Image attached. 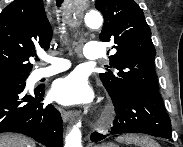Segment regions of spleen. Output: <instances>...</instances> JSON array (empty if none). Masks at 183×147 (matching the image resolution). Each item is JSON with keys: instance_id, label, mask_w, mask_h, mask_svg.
<instances>
[{"instance_id": "spleen-1", "label": "spleen", "mask_w": 183, "mask_h": 147, "mask_svg": "<svg viewBox=\"0 0 183 147\" xmlns=\"http://www.w3.org/2000/svg\"><path fill=\"white\" fill-rule=\"evenodd\" d=\"M119 142L134 144L138 147H160V145L148 136L125 135L116 139Z\"/></svg>"}]
</instances>
